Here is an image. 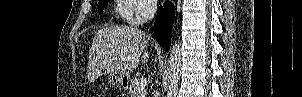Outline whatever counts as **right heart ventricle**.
I'll use <instances>...</instances> for the list:
<instances>
[{"label":"right heart ventricle","instance_id":"e07e8e85","mask_svg":"<svg viewBox=\"0 0 302 97\" xmlns=\"http://www.w3.org/2000/svg\"><path fill=\"white\" fill-rule=\"evenodd\" d=\"M116 12L121 17L127 19L131 12V4L128 0H118L117 1Z\"/></svg>","mask_w":302,"mask_h":97}]
</instances>
